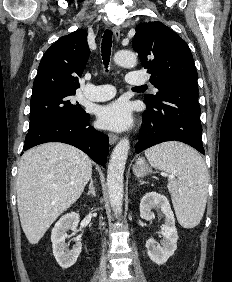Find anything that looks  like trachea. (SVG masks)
Listing matches in <instances>:
<instances>
[{
    "mask_svg": "<svg viewBox=\"0 0 232 282\" xmlns=\"http://www.w3.org/2000/svg\"><path fill=\"white\" fill-rule=\"evenodd\" d=\"M112 31L106 30L103 35L102 43H101V52L102 58L105 68H108L110 62V55H111V47H112ZM137 88H144V86L135 87Z\"/></svg>",
    "mask_w": 232,
    "mask_h": 282,
    "instance_id": "obj_1",
    "label": "trachea"
}]
</instances>
